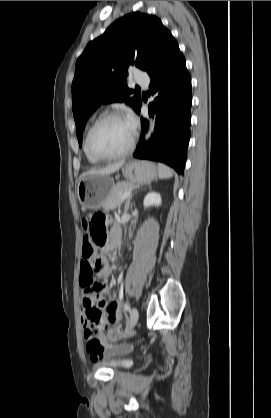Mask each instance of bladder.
Returning <instances> with one entry per match:
<instances>
[{"mask_svg":"<svg viewBox=\"0 0 271 418\" xmlns=\"http://www.w3.org/2000/svg\"><path fill=\"white\" fill-rule=\"evenodd\" d=\"M129 364H130L129 360L125 357H119L117 359H114L105 363L106 366L114 370L125 369L129 366Z\"/></svg>","mask_w":271,"mask_h":418,"instance_id":"bladder-1","label":"bladder"}]
</instances>
